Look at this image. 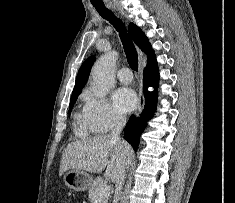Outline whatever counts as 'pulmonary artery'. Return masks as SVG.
<instances>
[{"label":"pulmonary artery","instance_id":"e3ab8cb5","mask_svg":"<svg viewBox=\"0 0 235 203\" xmlns=\"http://www.w3.org/2000/svg\"><path fill=\"white\" fill-rule=\"evenodd\" d=\"M117 78L123 83H130L133 75L129 68L123 67L117 72Z\"/></svg>","mask_w":235,"mask_h":203}]
</instances>
